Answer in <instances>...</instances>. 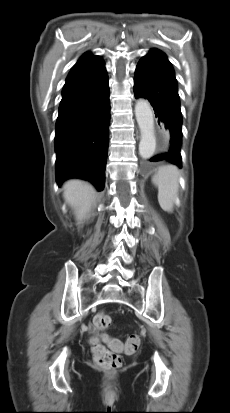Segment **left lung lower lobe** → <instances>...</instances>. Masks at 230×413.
Instances as JSON below:
<instances>
[{
    "label": "left lung lower lobe",
    "instance_id": "0a47b994",
    "mask_svg": "<svg viewBox=\"0 0 230 413\" xmlns=\"http://www.w3.org/2000/svg\"><path fill=\"white\" fill-rule=\"evenodd\" d=\"M134 95L147 98L154 108L158 123L165 124L171 139L169 150L150 161H169L181 168L182 114L177 80L166 55L151 49L138 63L134 77Z\"/></svg>",
    "mask_w": 230,
    "mask_h": 413
}]
</instances>
